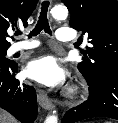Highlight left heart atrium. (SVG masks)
<instances>
[{
    "mask_svg": "<svg viewBox=\"0 0 118 123\" xmlns=\"http://www.w3.org/2000/svg\"><path fill=\"white\" fill-rule=\"evenodd\" d=\"M27 75L45 86H59L65 81V71L53 56H43L31 61Z\"/></svg>",
    "mask_w": 118,
    "mask_h": 123,
    "instance_id": "1",
    "label": "left heart atrium"
}]
</instances>
